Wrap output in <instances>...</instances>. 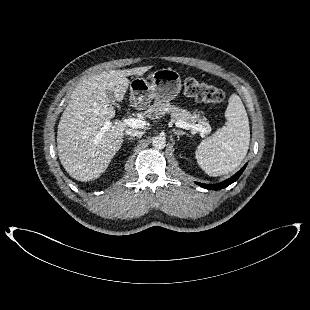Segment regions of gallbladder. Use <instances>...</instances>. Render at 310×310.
Here are the masks:
<instances>
[{
    "mask_svg": "<svg viewBox=\"0 0 310 310\" xmlns=\"http://www.w3.org/2000/svg\"><path fill=\"white\" fill-rule=\"evenodd\" d=\"M107 96L114 105L118 106L114 101V95L112 92H107Z\"/></svg>",
    "mask_w": 310,
    "mask_h": 310,
    "instance_id": "1",
    "label": "gallbladder"
}]
</instances>
